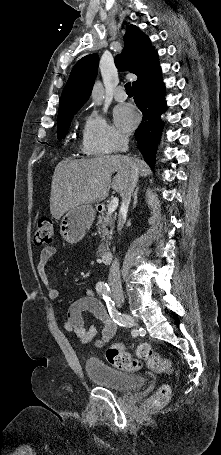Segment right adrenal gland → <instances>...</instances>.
<instances>
[{
    "mask_svg": "<svg viewBox=\"0 0 221 455\" xmlns=\"http://www.w3.org/2000/svg\"><path fill=\"white\" fill-rule=\"evenodd\" d=\"M138 190H139V187H137V188L135 189V192H134V196H133V206H132L133 209H134V208L136 207V205H137V201H138V200H137Z\"/></svg>",
    "mask_w": 221,
    "mask_h": 455,
    "instance_id": "right-adrenal-gland-1",
    "label": "right adrenal gland"
}]
</instances>
